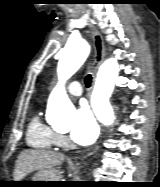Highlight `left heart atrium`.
I'll use <instances>...</instances> for the list:
<instances>
[{
  "label": "left heart atrium",
  "mask_w": 160,
  "mask_h": 187,
  "mask_svg": "<svg viewBox=\"0 0 160 187\" xmlns=\"http://www.w3.org/2000/svg\"><path fill=\"white\" fill-rule=\"evenodd\" d=\"M99 133V128L90 108L83 104L77 110L72 131V139L80 145L92 144Z\"/></svg>",
  "instance_id": "left-heart-atrium-1"
}]
</instances>
